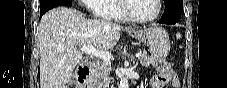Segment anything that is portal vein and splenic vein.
<instances>
[{
    "label": "portal vein and splenic vein",
    "instance_id": "1",
    "mask_svg": "<svg viewBox=\"0 0 227 88\" xmlns=\"http://www.w3.org/2000/svg\"><path fill=\"white\" fill-rule=\"evenodd\" d=\"M80 51L82 53H86V54H89V55L99 57V58H101V59H103L104 61H107V62H109L111 60V57H112V55L109 51H99L91 45L84 46V47L80 48ZM140 56H141L140 52L135 54L136 58H139Z\"/></svg>",
    "mask_w": 227,
    "mask_h": 88
}]
</instances>
